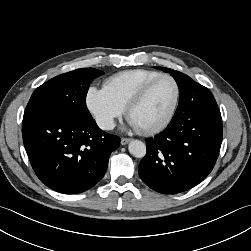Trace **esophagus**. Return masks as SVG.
Masks as SVG:
<instances>
[{"label":"esophagus","instance_id":"1","mask_svg":"<svg viewBox=\"0 0 251 251\" xmlns=\"http://www.w3.org/2000/svg\"><path fill=\"white\" fill-rule=\"evenodd\" d=\"M130 141H131L130 138H122V139H121V144H122V145H126V144H128Z\"/></svg>","mask_w":251,"mask_h":251}]
</instances>
